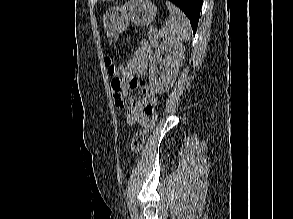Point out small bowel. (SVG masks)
Returning <instances> with one entry per match:
<instances>
[{
	"label": "small bowel",
	"instance_id": "1",
	"mask_svg": "<svg viewBox=\"0 0 293 219\" xmlns=\"http://www.w3.org/2000/svg\"><path fill=\"white\" fill-rule=\"evenodd\" d=\"M152 49L149 44L143 43L136 53L129 59L124 70L119 76L120 89L116 90L112 84L113 96L118 108L127 118V124L132 127L139 125L146 127L150 122L149 107L154 108L157 104V96L149 87L148 83L140 78L139 75L145 73ZM130 89H140L142 98L135 99L129 96Z\"/></svg>",
	"mask_w": 293,
	"mask_h": 219
}]
</instances>
